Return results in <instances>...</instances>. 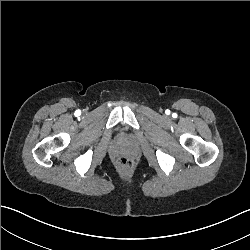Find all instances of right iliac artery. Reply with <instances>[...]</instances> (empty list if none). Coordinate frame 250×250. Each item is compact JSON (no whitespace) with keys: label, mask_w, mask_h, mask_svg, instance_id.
<instances>
[{"label":"right iliac artery","mask_w":250,"mask_h":250,"mask_svg":"<svg viewBox=\"0 0 250 250\" xmlns=\"http://www.w3.org/2000/svg\"><path fill=\"white\" fill-rule=\"evenodd\" d=\"M79 115H81V111L80 110H76L75 111V116H79Z\"/></svg>","instance_id":"82829eb1"}]
</instances>
